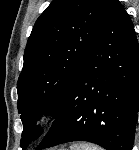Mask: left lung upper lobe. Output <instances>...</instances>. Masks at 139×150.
<instances>
[{"mask_svg":"<svg viewBox=\"0 0 139 150\" xmlns=\"http://www.w3.org/2000/svg\"><path fill=\"white\" fill-rule=\"evenodd\" d=\"M115 0H53L28 39L17 82L23 148L43 132L42 114L55 115L102 31Z\"/></svg>","mask_w":139,"mask_h":150,"instance_id":"5c2ea615","label":"left lung upper lobe"}]
</instances>
